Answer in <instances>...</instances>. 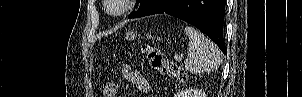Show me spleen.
<instances>
[{
	"mask_svg": "<svg viewBox=\"0 0 302 97\" xmlns=\"http://www.w3.org/2000/svg\"><path fill=\"white\" fill-rule=\"evenodd\" d=\"M189 37L185 70L190 73H205L216 70L221 62V52L217 45L194 27L184 29Z\"/></svg>",
	"mask_w": 302,
	"mask_h": 97,
	"instance_id": "obj_1",
	"label": "spleen"
}]
</instances>
